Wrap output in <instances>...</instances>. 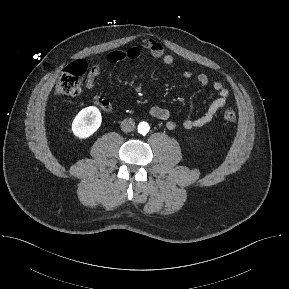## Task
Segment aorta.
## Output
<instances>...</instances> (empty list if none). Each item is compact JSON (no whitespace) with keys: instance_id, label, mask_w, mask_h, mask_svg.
Returning a JSON list of instances; mask_svg holds the SVG:
<instances>
[{"instance_id":"762f6f07","label":"aorta","mask_w":289,"mask_h":289,"mask_svg":"<svg viewBox=\"0 0 289 289\" xmlns=\"http://www.w3.org/2000/svg\"><path fill=\"white\" fill-rule=\"evenodd\" d=\"M138 132L143 135L147 134L149 132V124L146 122L139 123Z\"/></svg>"}]
</instances>
